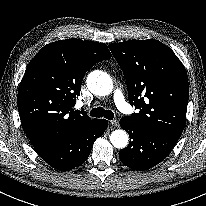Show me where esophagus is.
<instances>
[{
  "instance_id": "esophagus-1",
  "label": "esophagus",
  "mask_w": 206,
  "mask_h": 206,
  "mask_svg": "<svg viewBox=\"0 0 206 206\" xmlns=\"http://www.w3.org/2000/svg\"><path fill=\"white\" fill-rule=\"evenodd\" d=\"M110 123L115 126V127H118L119 126V122L117 119H114V120H111Z\"/></svg>"
}]
</instances>
